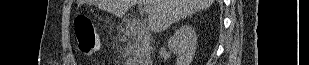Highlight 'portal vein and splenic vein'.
<instances>
[{
	"mask_svg": "<svg viewBox=\"0 0 309 65\" xmlns=\"http://www.w3.org/2000/svg\"><path fill=\"white\" fill-rule=\"evenodd\" d=\"M150 11V8L148 6H144L143 12L148 13Z\"/></svg>",
	"mask_w": 309,
	"mask_h": 65,
	"instance_id": "1",
	"label": "portal vein and splenic vein"
}]
</instances>
